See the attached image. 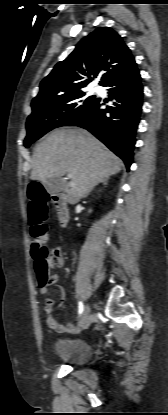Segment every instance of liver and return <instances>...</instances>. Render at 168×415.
<instances>
[{
	"instance_id": "obj_1",
	"label": "liver",
	"mask_w": 168,
	"mask_h": 415,
	"mask_svg": "<svg viewBox=\"0 0 168 415\" xmlns=\"http://www.w3.org/2000/svg\"><path fill=\"white\" fill-rule=\"evenodd\" d=\"M122 161L91 133L79 127L51 131L36 146L31 180L71 174L74 186L66 200L74 205L86 197L102 179L121 171Z\"/></svg>"
}]
</instances>
